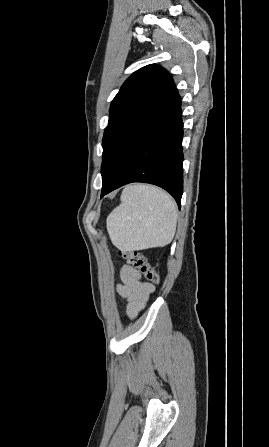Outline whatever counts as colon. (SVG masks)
I'll list each match as a JSON object with an SVG mask.
<instances>
[{"mask_svg":"<svg viewBox=\"0 0 269 447\" xmlns=\"http://www.w3.org/2000/svg\"><path fill=\"white\" fill-rule=\"evenodd\" d=\"M120 255L128 264L137 268L148 282L155 285L160 283L159 273L148 263L142 252L122 251Z\"/></svg>","mask_w":269,"mask_h":447,"instance_id":"1","label":"colon"}]
</instances>
